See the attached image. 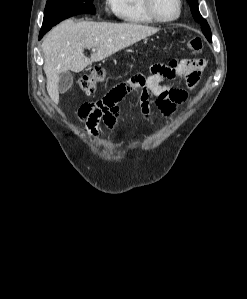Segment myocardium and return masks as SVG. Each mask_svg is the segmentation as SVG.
Instances as JSON below:
<instances>
[{"mask_svg":"<svg viewBox=\"0 0 247 299\" xmlns=\"http://www.w3.org/2000/svg\"><path fill=\"white\" fill-rule=\"evenodd\" d=\"M176 2H177V12H176L175 16H173L171 18H162L155 11L154 0H144L145 9H146L148 15L155 22H159V23H170V22L177 20L180 17L181 11H182V0H176Z\"/></svg>","mask_w":247,"mask_h":299,"instance_id":"f54148a6","label":"myocardium"}]
</instances>
